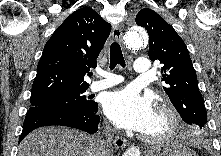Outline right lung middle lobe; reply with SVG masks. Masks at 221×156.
I'll list each match as a JSON object with an SVG mask.
<instances>
[{
  "label": "right lung middle lobe",
  "instance_id": "dd1d6c3e",
  "mask_svg": "<svg viewBox=\"0 0 221 156\" xmlns=\"http://www.w3.org/2000/svg\"><path fill=\"white\" fill-rule=\"evenodd\" d=\"M86 89L58 93L43 98L31 99L32 107L66 109V110H92L97 103L89 101L84 94Z\"/></svg>",
  "mask_w": 221,
  "mask_h": 156
}]
</instances>
